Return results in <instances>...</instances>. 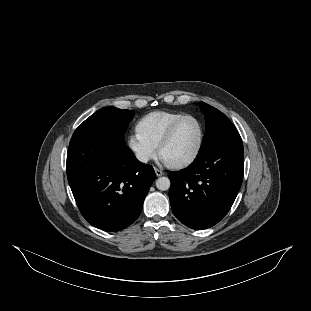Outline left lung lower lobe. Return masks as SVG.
I'll return each instance as SVG.
<instances>
[{"mask_svg": "<svg viewBox=\"0 0 311 311\" xmlns=\"http://www.w3.org/2000/svg\"><path fill=\"white\" fill-rule=\"evenodd\" d=\"M243 171V143L233 141L197 157L185 169L169 172V198L176 218L196 230L217 224L237 196Z\"/></svg>", "mask_w": 311, "mask_h": 311, "instance_id": "obj_1", "label": "left lung lower lobe"}]
</instances>
